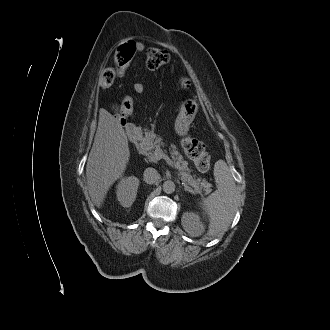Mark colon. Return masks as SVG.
<instances>
[{"instance_id": "1", "label": "colon", "mask_w": 330, "mask_h": 330, "mask_svg": "<svg viewBox=\"0 0 330 330\" xmlns=\"http://www.w3.org/2000/svg\"><path fill=\"white\" fill-rule=\"evenodd\" d=\"M135 53L136 46L133 41H128L119 46L114 52L116 68H105L102 71L100 77L101 86H110L116 78L117 69L130 64ZM169 59L170 56L166 50L152 47L146 52L145 62L148 69L155 70L166 65ZM180 83L184 89L190 88V81L187 78L181 77ZM121 107L127 112V114L121 115L122 117L130 115L133 110V98L130 95H126L121 101ZM182 147L187 157L193 161L199 172H207L209 170L211 164L210 156L201 141L186 137L182 141Z\"/></svg>"}]
</instances>
